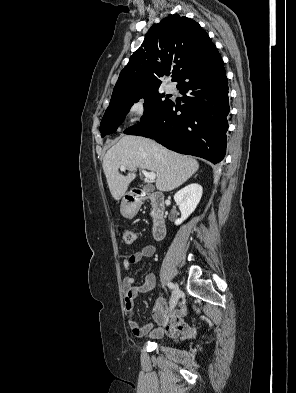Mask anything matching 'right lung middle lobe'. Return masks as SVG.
Here are the masks:
<instances>
[{"instance_id": "dd1d6c3e", "label": "right lung middle lobe", "mask_w": 296, "mask_h": 393, "mask_svg": "<svg viewBox=\"0 0 296 393\" xmlns=\"http://www.w3.org/2000/svg\"><path fill=\"white\" fill-rule=\"evenodd\" d=\"M158 89L159 88L150 89L126 99L110 101L100 123L101 136L104 137L107 134L115 132L124 121L131 106L138 102L141 98H144L145 100V112L141 121L155 117L170 101L169 95L163 99L165 95L160 94Z\"/></svg>"}]
</instances>
